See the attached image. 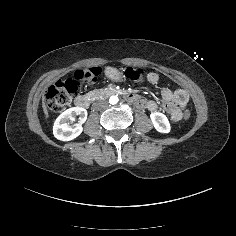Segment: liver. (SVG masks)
<instances>
[{"mask_svg": "<svg viewBox=\"0 0 236 236\" xmlns=\"http://www.w3.org/2000/svg\"><path fill=\"white\" fill-rule=\"evenodd\" d=\"M42 108H43L46 118H48L49 115H48L47 106L45 105V98H43Z\"/></svg>", "mask_w": 236, "mask_h": 236, "instance_id": "6515ba94", "label": "liver"}]
</instances>
